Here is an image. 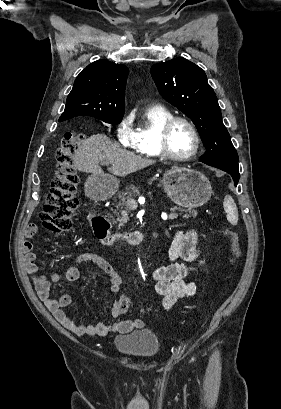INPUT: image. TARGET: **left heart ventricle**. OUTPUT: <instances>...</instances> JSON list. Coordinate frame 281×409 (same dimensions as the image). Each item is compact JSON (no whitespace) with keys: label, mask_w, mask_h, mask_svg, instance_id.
Listing matches in <instances>:
<instances>
[{"label":"left heart ventricle","mask_w":281,"mask_h":409,"mask_svg":"<svg viewBox=\"0 0 281 409\" xmlns=\"http://www.w3.org/2000/svg\"><path fill=\"white\" fill-rule=\"evenodd\" d=\"M195 141L189 128L183 123L176 124L169 136V148L173 154L183 156L194 149Z\"/></svg>","instance_id":"1"}]
</instances>
